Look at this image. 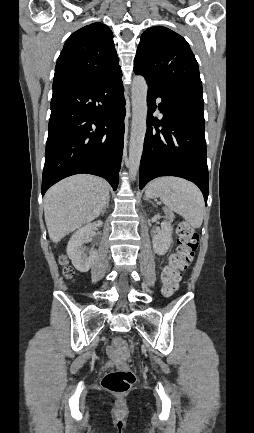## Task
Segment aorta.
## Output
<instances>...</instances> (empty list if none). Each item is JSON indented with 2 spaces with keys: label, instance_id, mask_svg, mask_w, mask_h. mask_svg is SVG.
Masks as SVG:
<instances>
[{
  "label": "aorta",
  "instance_id": "aorta-1",
  "mask_svg": "<svg viewBox=\"0 0 254 433\" xmlns=\"http://www.w3.org/2000/svg\"><path fill=\"white\" fill-rule=\"evenodd\" d=\"M147 82L143 76H135L132 82V126L129 145V173L135 178L143 152L147 124Z\"/></svg>",
  "mask_w": 254,
  "mask_h": 433
}]
</instances>
